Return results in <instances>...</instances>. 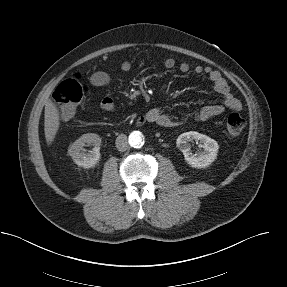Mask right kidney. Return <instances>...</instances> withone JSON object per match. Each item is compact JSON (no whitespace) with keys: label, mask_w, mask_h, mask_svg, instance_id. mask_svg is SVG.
Segmentation results:
<instances>
[{"label":"right kidney","mask_w":287,"mask_h":287,"mask_svg":"<svg viewBox=\"0 0 287 287\" xmlns=\"http://www.w3.org/2000/svg\"><path fill=\"white\" fill-rule=\"evenodd\" d=\"M93 145V149L88 153L84 149L85 145ZM101 138L94 133H87L77 139L69 148L68 153L75 164L84 168L94 167L100 160Z\"/></svg>","instance_id":"1"}]
</instances>
